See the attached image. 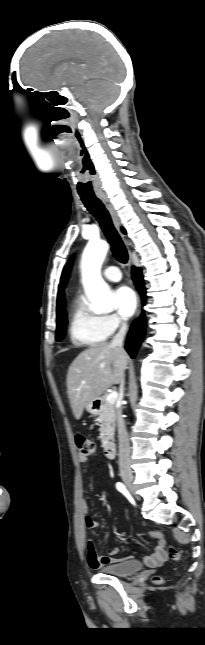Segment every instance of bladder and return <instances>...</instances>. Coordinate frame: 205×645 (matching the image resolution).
<instances>
[{
  "label": "bladder",
  "instance_id": "31cf9c89",
  "mask_svg": "<svg viewBox=\"0 0 205 645\" xmlns=\"http://www.w3.org/2000/svg\"><path fill=\"white\" fill-rule=\"evenodd\" d=\"M142 569V563L134 559H126L101 567L103 573L118 577H128L140 572Z\"/></svg>",
  "mask_w": 205,
  "mask_h": 645
}]
</instances>
